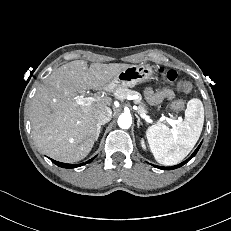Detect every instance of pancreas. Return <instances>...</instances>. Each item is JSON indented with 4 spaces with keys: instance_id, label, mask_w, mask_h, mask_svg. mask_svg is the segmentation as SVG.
Here are the masks:
<instances>
[{
    "instance_id": "cf45deb5",
    "label": "pancreas",
    "mask_w": 231,
    "mask_h": 231,
    "mask_svg": "<svg viewBox=\"0 0 231 231\" xmlns=\"http://www.w3.org/2000/svg\"><path fill=\"white\" fill-rule=\"evenodd\" d=\"M113 92H114V96L117 98V99H125L126 97L128 96H133V95H136L137 92L136 91H133V90H129L127 88H122V87H116L113 89ZM136 103L140 104L141 103V100L140 99H137L135 100ZM138 112L141 114V115H145V110L143 108L142 105H139V109H138Z\"/></svg>"
}]
</instances>
